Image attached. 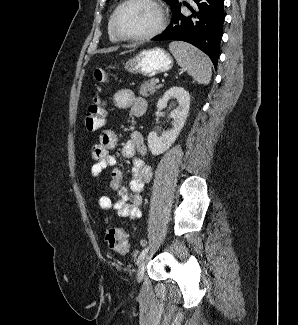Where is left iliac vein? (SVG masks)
Here are the masks:
<instances>
[{
	"label": "left iliac vein",
	"mask_w": 298,
	"mask_h": 325,
	"mask_svg": "<svg viewBox=\"0 0 298 325\" xmlns=\"http://www.w3.org/2000/svg\"><path fill=\"white\" fill-rule=\"evenodd\" d=\"M146 269V260H143L137 270V281L140 283L143 280L144 273Z\"/></svg>",
	"instance_id": "1"
}]
</instances>
